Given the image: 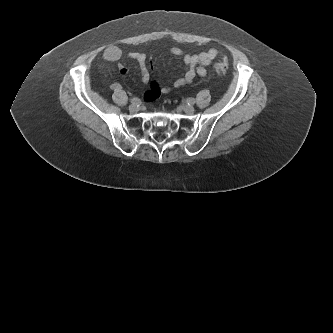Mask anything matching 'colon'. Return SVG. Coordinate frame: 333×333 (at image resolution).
<instances>
[{"label": "colon", "mask_w": 333, "mask_h": 333, "mask_svg": "<svg viewBox=\"0 0 333 333\" xmlns=\"http://www.w3.org/2000/svg\"><path fill=\"white\" fill-rule=\"evenodd\" d=\"M215 69L218 73L224 74L228 69V63L226 60H221L220 62L216 63Z\"/></svg>", "instance_id": "obj_1"}]
</instances>
